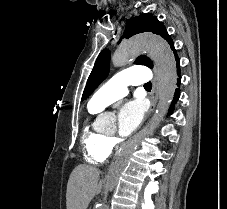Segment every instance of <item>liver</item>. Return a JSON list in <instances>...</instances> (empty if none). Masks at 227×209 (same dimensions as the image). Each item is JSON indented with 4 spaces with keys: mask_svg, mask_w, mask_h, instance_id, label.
I'll list each match as a JSON object with an SVG mask.
<instances>
[{
    "mask_svg": "<svg viewBox=\"0 0 227 209\" xmlns=\"http://www.w3.org/2000/svg\"><path fill=\"white\" fill-rule=\"evenodd\" d=\"M98 173L89 165H78L70 175L66 193L67 209H87L96 187Z\"/></svg>",
    "mask_w": 227,
    "mask_h": 209,
    "instance_id": "1",
    "label": "liver"
}]
</instances>
